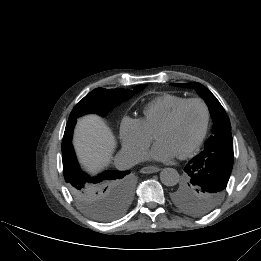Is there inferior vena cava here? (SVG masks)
<instances>
[{"label": "inferior vena cava", "mask_w": 261, "mask_h": 261, "mask_svg": "<svg viewBox=\"0 0 261 261\" xmlns=\"http://www.w3.org/2000/svg\"><path fill=\"white\" fill-rule=\"evenodd\" d=\"M145 156L139 150L122 148L114 159V164L119 170H126L144 161Z\"/></svg>", "instance_id": "1"}]
</instances>
